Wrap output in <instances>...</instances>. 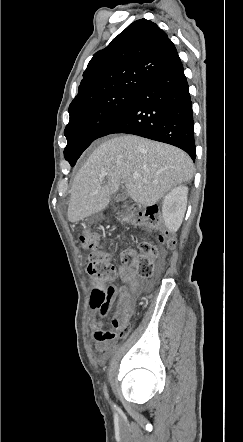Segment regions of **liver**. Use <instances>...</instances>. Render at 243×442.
I'll return each mask as SVG.
<instances>
[{"label": "liver", "mask_w": 243, "mask_h": 442, "mask_svg": "<svg viewBox=\"0 0 243 442\" xmlns=\"http://www.w3.org/2000/svg\"><path fill=\"white\" fill-rule=\"evenodd\" d=\"M107 173L106 184L99 176ZM139 173L138 179L133 173ZM194 174L191 158L181 149L134 135L115 136L93 151L73 181L68 220L76 223L105 209L125 182L139 206L157 203L170 189Z\"/></svg>", "instance_id": "liver-1"}]
</instances>
